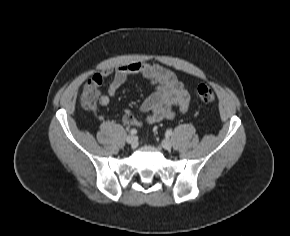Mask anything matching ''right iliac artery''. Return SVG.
<instances>
[{
    "label": "right iliac artery",
    "mask_w": 290,
    "mask_h": 236,
    "mask_svg": "<svg viewBox=\"0 0 290 236\" xmlns=\"http://www.w3.org/2000/svg\"><path fill=\"white\" fill-rule=\"evenodd\" d=\"M130 133H131L132 135H134V134L137 133V131H136V129H132V130L130 131Z\"/></svg>",
    "instance_id": "right-iliac-artery-1"
}]
</instances>
